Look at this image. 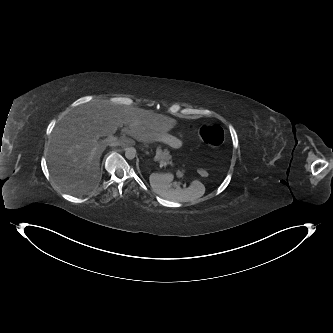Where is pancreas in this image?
Returning <instances> with one entry per match:
<instances>
[{
	"mask_svg": "<svg viewBox=\"0 0 333 333\" xmlns=\"http://www.w3.org/2000/svg\"><path fill=\"white\" fill-rule=\"evenodd\" d=\"M154 160L159 163H166V164L172 165V156L170 155V152L167 149L162 150L160 147L157 148V150H156V155H155ZM176 175L179 178H183L184 172L178 170L176 172Z\"/></svg>",
	"mask_w": 333,
	"mask_h": 333,
	"instance_id": "pancreas-1",
	"label": "pancreas"
}]
</instances>
